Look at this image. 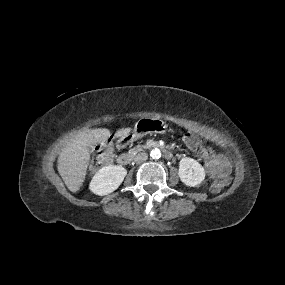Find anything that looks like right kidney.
<instances>
[{"instance_id": "1", "label": "right kidney", "mask_w": 285, "mask_h": 285, "mask_svg": "<svg viewBox=\"0 0 285 285\" xmlns=\"http://www.w3.org/2000/svg\"><path fill=\"white\" fill-rule=\"evenodd\" d=\"M126 175L127 170L121 165L102 167L91 180L89 189L96 195H108L120 186Z\"/></svg>"}]
</instances>
